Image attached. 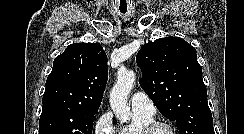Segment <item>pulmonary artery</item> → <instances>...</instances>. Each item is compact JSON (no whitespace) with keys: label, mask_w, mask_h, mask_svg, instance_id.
<instances>
[{"label":"pulmonary artery","mask_w":244,"mask_h":134,"mask_svg":"<svg viewBox=\"0 0 244 134\" xmlns=\"http://www.w3.org/2000/svg\"><path fill=\"white\" fill-rule=\"evenodd\" d=\"M130 104L134 112L154 116L156 110L151 99L143 92H136L131 96Z\"/></svg>","instance_id":"1"}]
</instances>
